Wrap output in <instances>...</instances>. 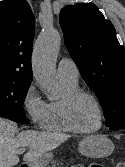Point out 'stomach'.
<instances>
[{"instance_id":"obj_1","label":"stomach","mask_w":125,"mask_h":167,"mask_svg":"<svg viewBox=\"0 0 125 167\" xmlns=\"http://www.w3.org/2000/svg\"><path fill=\"white\" fill-rule=\"evenodd\" d=\"M78 151L87 157L103 158L114 151L113 142L103 135L85 137L78 144ZM53 154L46 152L32 161L26 163L27 167H46L52 160Z\"/></svg>"}]
</instances>
